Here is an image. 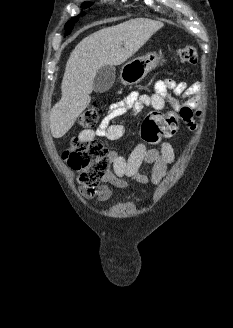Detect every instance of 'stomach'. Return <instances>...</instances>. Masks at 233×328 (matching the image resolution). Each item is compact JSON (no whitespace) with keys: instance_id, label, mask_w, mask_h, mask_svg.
Listing matches in <instances>:
<instances>
[{"instance_id":"0dacf381","label":"stomach","mask_w":233,"mask_h":328,"mask_svg":"<svg viewBox=\"0 0 233 328\" xmlns=\"http://www.w3.org/2000/svg\"><path fill=\"white\" fill-rule=\"evenodd\" d=\"M161 57L156 52H150L144 56L127 62L121 69L120 78L124 85L139 83L160 61Z\"/></svg>"}]
</instances>
